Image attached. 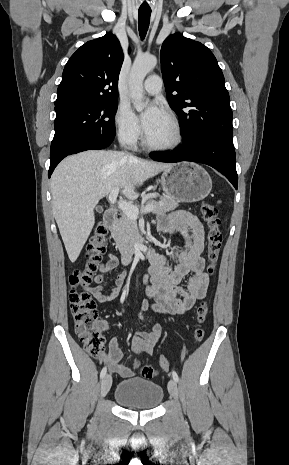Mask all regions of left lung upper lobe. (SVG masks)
<instances>
[{
	"mask_svg": "<svg viewBox=\"0 0 289 465\" xmlns=\"http://www.w3.org/2000/svg\"><path fill=\"white\" fill-rule=\"evenodd\" d=\"M160 58L169 105L181 120L183 144L198 135L232 141L230 98L213 53L175 33L165 39Z\"/></svg>",
	"mask_w": 289,
	"mask_h": 465,
	"instance_id": "1",
	"label": "left lung upper lobe"
}]
</instances>
